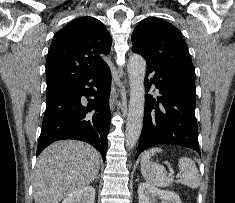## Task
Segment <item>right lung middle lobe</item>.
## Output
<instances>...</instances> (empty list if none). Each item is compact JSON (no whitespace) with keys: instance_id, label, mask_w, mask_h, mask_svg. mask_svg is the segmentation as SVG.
Here are the masks:
<instances>
[{"instance_id":"obj_1","label":"right lung middle lobe","mask_w":235,"mask_h":203,"mask_svg":"<svg viewBox=\"0 0 235 203\" xmlns=\"http://www.w3.org/2000/svg\"><path fill=\"white\" fill-rule=\"evenodd\" d=\"M66 85H55V86H48L46 89V95H50L53 94L57 91H59L60 89H63Z\"/></svg>"}]
</instances>
